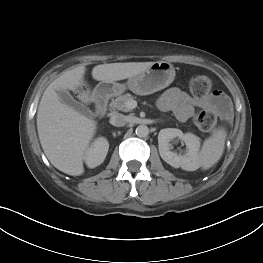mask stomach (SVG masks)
Returning a JSON list of instances; mask_svg holds the SVG:
<instances>
[{
	"label": "stomach",
	"mask_w": 263,
	"mask_h": 263,
	"mask_svg": "<svg viewBox=\"0 0 263 263\" xmlns=\"http://www.w3.org/2000/svg\"><path fill=\"white\" fill-rule=\"evenodd\" d=\"M175 78L172 64L166 61L154 62L150 67L128 78L126 83L100 82L94 89V94L108 97L120 94L129 89L138 95H148L169 86Z\"/></svg>",
	"instance_id": "1"
}]
</instances>
